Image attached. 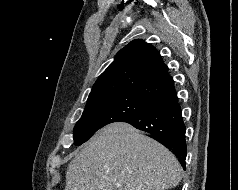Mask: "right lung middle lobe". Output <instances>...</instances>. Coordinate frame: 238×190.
Returning <instances> with one entry per match:
<instances>
[{"label": "right lung middle lobe", "instance_id": "dd1d6c3e", "mask_svg": "<svg viewBox=\"0 0 238 190\" xmlns=\"http://www.w3.org/2000/svg\"><path fill=\"white\" fill-rule=\"evenodd\" d=\"M152 104L130 95H114L88 101L74 127V144L81 145L101 127L113 122H122L146 110Z\"/></svg>", "mask_w": 238, "mask_h": 190}]
</instances>
